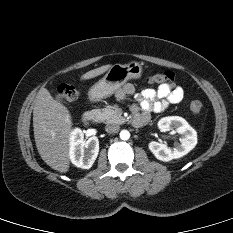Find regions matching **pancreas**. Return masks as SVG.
Returning a JSON list of instances; mask_svg holds the SVG:
<instances>
[{
	"mask_svg": "<svg viewBox=\"0 0 233 233\" xmlns=\"http://www.w3.org/2000/svg\"><path fill=\"white\" fill-rule=\"evenodd\" d=\"M95 113L100 118L101 121L106 123H123L124 118L121 116L122 112L120 110H114L111 107L97 109Z\"/></svg>",
	"mask_w": 233,
	"mask_h": 233,
	"instance_id": "obj_1",
	"label": "pancreas"
}]
</instances>
